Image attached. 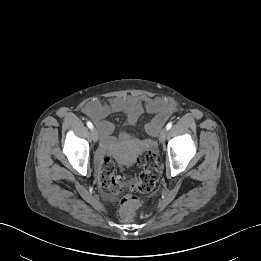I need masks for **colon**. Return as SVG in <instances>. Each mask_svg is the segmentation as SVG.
<instances>
[{
  "mask_svg": "<svg viewBox=\"0 0 261 261\" xmlns=\"http://www.w3.org/2000/svg\"><path fill=\"white\" fill-rule=\"evenodd\" d=\"M138 163L142 167V172L138 176L123 179L116 176L115 163L110 157H105L100 165L101 186L113 194L124 195L120 205V214L124 219L132 218L137 207V200L131 194L153 192L158 183L157 155L152 148L142 150Z\"/></svg>",
  "mask_w": 261,
  "mask_h": 261,
  "instance_id": "obj_1",
  "label": "colon"
}]
</instances>
